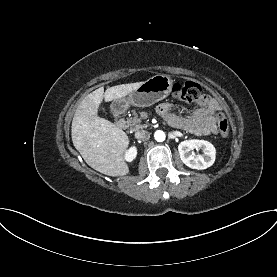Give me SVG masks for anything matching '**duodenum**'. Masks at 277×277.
<instances>
[{"label":"duodenum","instance_id":"obj_1","mask_svg":"<svg viewBox=\"0 0 277 277\" xmlns=\"http://www.w3.org/2000/svg\"><path fill=\"white\" fill-rule=\"evenodd\" d=\"M113 113H114V115H115L116 118H117V120H116V122H115L116 126H117L118 128H120V129H123V128L125 127V125H126V122H125V120H124V118H123V115H124V113H125V110L122 109V108L116 107V108H114Z\"/></svg>","mask_w":277,"mask_h":277}]
</instances>
